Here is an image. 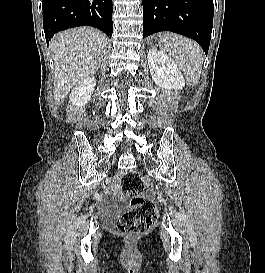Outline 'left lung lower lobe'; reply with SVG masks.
I'll list each match as a JSON object with an SVG mask.
<instances>
[{"mask_svg": "<svg viewBox=\"0 0 265 273\" xmlns=\"http://www.w3.org/2000/svg\"><path fill=\"white\" fill-rule=\"evenodd\" d=\"M213 0H143V37L172 31L196 40L208 53Z\"/></svg>", "mask_w": 265, "mask_h": 273, "instance_id": "obj_1", "label": "left lung lower lobe"}]
</instances>
